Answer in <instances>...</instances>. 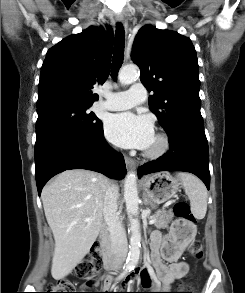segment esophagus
<instances>
[{"instance_id": "esophagus-1", "label": "esophagus", "mask_w": 245, "mask_h": 293, "mask_svg": "<svg viewBox=\"0 0 245 293\" xmlns=\"http://www.w3.org/2000/svg\"><path fill=\"white\" fill-rule=\"evenodd\" d=\"M116 21L123 22L124 17L122 15H117ZM125 163L129 168L134 169L136 167V162L133 159L129 158L128 156H125Z\"/></svg>"}]
</instances>
